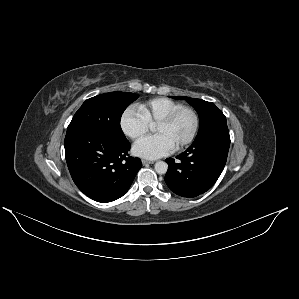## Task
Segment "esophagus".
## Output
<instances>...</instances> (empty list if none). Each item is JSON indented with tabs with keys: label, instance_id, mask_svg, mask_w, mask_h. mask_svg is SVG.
Masks as SVG:
<instances>
[{
	"label": "esophagus",
	"instance_id": "1",
	"mask_svg": "<svg viewBox=\"0 0 299 299\" xmlns=\"http://www.w3.org/2000/svg\"><path fill=\"white\" fill-rule=\"evenodd\" d=\"M142 163H143V165H148V164H153V163H154V161H152V160H145V159H143V160H142Z\"/></svg>",
	"mask_w": 299,
	"mask_h": 299
}]
</instances>
